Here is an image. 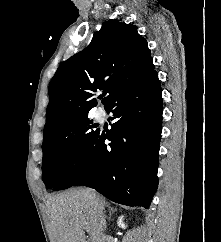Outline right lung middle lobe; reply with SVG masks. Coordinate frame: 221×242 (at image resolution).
Returning a JSON list of instances; mask_svg holds the SVG:
<instances>
[{"mask_svg": "<svg viewBox=\"0 0 221 242\" xmlns=\"http://www.w3.org/2000/svg\"><path fill=\"white\" fill-rule=\"evenodd\" d=\"M94 127L86 115L43 138L42 175L47 188H54L80 159L99 132Z\"/></svg>", "mask_w": 221, "mask_h": 242, "instance_id": "1", "label": "right lung middle lobe"}]
</instances>
